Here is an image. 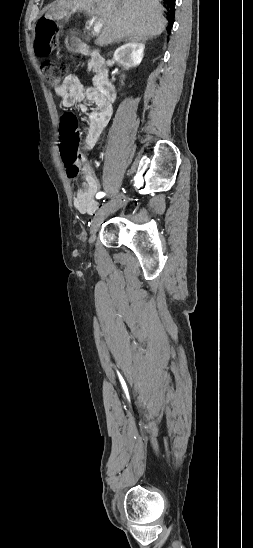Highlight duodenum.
<instances>
[{
  "label": "duodenum",
  "instance_id": "410a0bca",
  "mask_svg": "<svg viewBox=\"0 0 253 548\" xmlns=\"http://www.w3.org/2000/svg\"><path fill=\"white\" fill-rule=\"evenodd\" d=\"M79 50L90 57L92 63L97 68L98 77L96 82V90L99 94L108 101H113L116 96V89L109 78L108 70L105 65V57L98 51H90L83 44H78Z\"/></svg>",
  "mask_w": 253,
  "mask_h": 548
}]
</instances>
